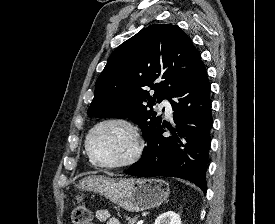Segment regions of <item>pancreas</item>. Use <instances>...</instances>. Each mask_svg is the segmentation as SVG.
Here are the masks:
<instances>
[{"label": "pancreas", "instance_id": "1", "mask_svg": "<svg viewBox=\"0 0 275 224\" xmlns=\"http://www.w3.org/2000/svg\"><path fill=\"white\" fill-rule=\"evenodd\" d=\"M138 221V216L135 217H126V223L127 224H136V222Z\"/></svg>", "mask_w": 275, "mask_h": 224}]
</instances>
